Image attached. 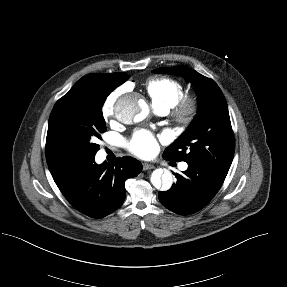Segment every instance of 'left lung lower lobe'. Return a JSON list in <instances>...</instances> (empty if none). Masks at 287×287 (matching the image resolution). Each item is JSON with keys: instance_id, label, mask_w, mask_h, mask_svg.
Listing matches in <instances>:
<instances>
[{"instance_id": "1", "label": "left lung lower lobe", "mask_w": 287, "mask_h": 287, "mask_svg": "<svg viewBox=\"0 0 287 287\" xmlns=\"http://www.w3.org/2000/svg\"><path fill=\"white\" fill-rule=\"evenodd\" d=\"M188 166L182 175L174 174L177 181L168 191L158 194L163 206L180 215H189L205 207L226 177L201 164L188 163Z\"/></svg>"}]
</instances>
